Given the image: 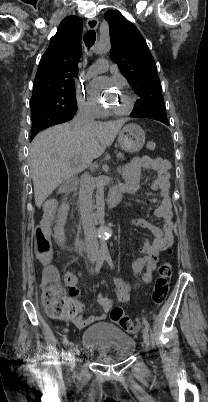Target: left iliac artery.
<instances>
[{
	"mask_svg": "<svg viewBox=\"0 0 208 402\" xmlns=\"http://www.w3.org/2000/svg\"><path fill=\"white\" fill-rule=\"evenodd\" d=\"M105 259H106L107 263L109 264V266L114 269L115 267H114V263L111 259V256L109 254H106ZM142 319H143V323L145 324L147 330H150V325H149L147 319L145 317H143Z\"/></svg>",
	"mask_w": 208,
	"mask_h": 402,
	"instance_id": "left-iliac-artery-1",
	"label": "left iliac artery"
}]
</instances>
